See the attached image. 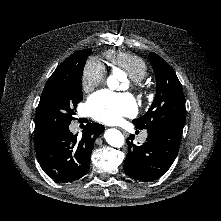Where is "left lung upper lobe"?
<instances>
[{"label":"left lung upper lobe","instance_id":"left-lung-upper-lobe-1","mask_svg":"<svg viewBox=\"0 0 221 221\" xmlns=\"http://www.w3.org/2000/svg\"><path fill=\"white\" fill-rule=\"evenodd\" d=\"M156 75V95L150 109L133 123L139 130L158 125L185 123V97L174 70L160 56L149 54Z\"/></svg>","mask_w":221,"mask_h":221}]
</instances>
